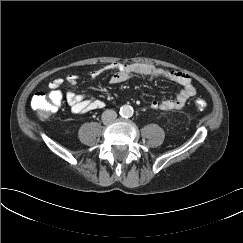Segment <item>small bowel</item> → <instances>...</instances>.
Wrapping results in <instances>:
<instances>
[{
    "instance_id": "c3829d8e",
    "label": "small bowel",
    "mask_w": 243,
    "mask_h": 243,
    "mask_svg": "<svg viewBox=\"0 0 243 243\" xmlns=\"http://www.w3.org/2000/svg\"><path fill=\"white\" fill-rule=\"evenodd\" d=\"M108 69L114 71L109 80V83L112 85L123 83L132 76H137L150 78L163 77L182 86V89L175 98L152 100L150 103L152 109L163 111L181 109L187 100L196 94V86L193 83L192 77L181 71L167 70L153 64L120 62L110 64ZM101 73L102 70H94L88 73V77L95 79ZM78 79L79 76L75 74L67 75L65 78H56L49 83L50 91L59 90L64 83H67L69 90L65 98L69 111L74 115H83L94 110L102 109L105 106L103 100L75 92L74 88Z\"/></svg>"
}]
</instances>
